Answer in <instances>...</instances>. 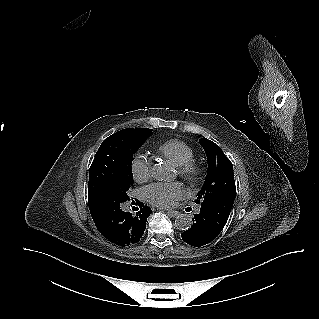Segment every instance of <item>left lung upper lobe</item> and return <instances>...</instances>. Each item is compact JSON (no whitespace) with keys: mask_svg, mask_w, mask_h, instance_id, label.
I'll list each match as a JSON object with an SVG mask.
<instances>
[{"mask_svg":"<svg viewBox=\"0 0 319 319\" xmlns=\"http://www.w3.org/2000/svg\"><path fill=\"white\" fill-rule=\"evenodd\" d=\"M208 160V172L195 203H205L221 198H235L236 187L233 165L223 151L207 138H200Z\"/></svg>","mask_w":319,"mask_h":319,"instance_id":"obj_1","label":"left lung upper lobe"}]
</instances>
